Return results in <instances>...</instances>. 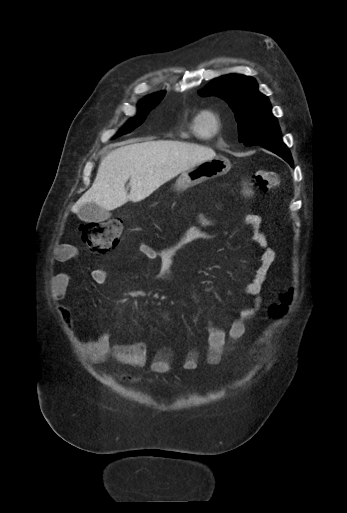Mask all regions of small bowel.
Returning <instances> with one entry per match:
<instances>
[{"label":"small bowel","mask_w":347,"mask_h":513,"mask_svg":"<svg viewBox=\"0 0 347 513\" xmlns=\"http://www.w3.org/2000/svg\"><path fill=\"white\" fill-rule=\"evenodd\" d=\"M217 220L207 213L198 216V225L190 227L169 246L157 252L152 248L142 245L137 251V260L153 262L160 260L159 277L166 283H172V266L176 253L186 245L214 238L208 232L207 227L215 225ZM243 223L250 229L251 238L260 250L259 262L254 277L242 287V293L251 298V304L238 309L237 317L229 327L224 329L211 322L208 329L206 362L209 365H218L226 356L230 346L242 338L246 332V322L253 319L260 306V293L267 279V274L275 260V251L269 246L267 237L261 229L262 218L258 214H247ZM73 249L68 246L57 247L54 250V259L64 262L71 258ZM91 279L96 284H103L107 280V272L104 269L91 271ZM70 284L67 273L60 272L53 275L50 281V291L54 299H61ZM64 319L70 323L69 311L60 309ZM79 351L82 357L93 364L106 362L109 358L115 359L120 365L134 369L143 368L148 362L147 346L143 341L130 344H112L108 332H103L95 340H79ZM171 353L167 349L156 352L151 360V370L154 373H165L171 367ZM199 364V351L192 349L185 354L182 368L187 371L195 370Z\"/></svg>","instance_id":"1"}]
</instances>
